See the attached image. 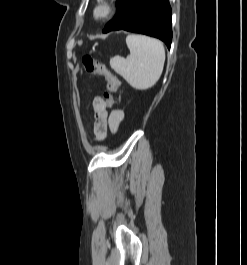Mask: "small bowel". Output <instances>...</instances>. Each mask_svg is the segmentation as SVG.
I'll list each match as a JSON object with an SVG mask.
<instances>
[{
  "label": "small bowel",
  "instance_id": "obj_1",
  "mask_svg": "<svg viewBox=\"0 0 247 265\" xmlns=\"http://www.w3.org/2000/svg\"><path fill=\"white\" fill-rule=\"evenodd\" d=\"M92 108L94 111L95 121L93 126L94 137L97 141L104 140L108 131L115 133L122 121L125 114L123 110L116 109L108 113L107 105L104 99L96 96L92 100Z\"/></svg>",
  "mask_w": 247,
  "mask_h": 265
}]
</instances>
